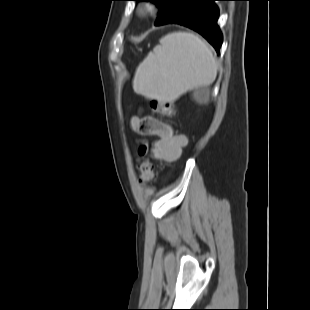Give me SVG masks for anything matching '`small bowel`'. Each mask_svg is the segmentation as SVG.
Returning <instances> with one entry per match:
<instances>
[{"label":"small bowel","mask_w":310,"mask_h":310,"mask_svg":"<svg viewBox=\"0 0 310 310\" xmlns=\"http://www.w3.org/2000/svg\"><path fill=\"white\" fill-rule=\"evenodd\" d=\"M130 124L136 132L157 137L151 144V155L157 160H177L187 144L185 135L175 133L169 124L153 116L140 113L131 118Z\"/></svg>","instance_id":"c3829d8e"}]
</instances>
